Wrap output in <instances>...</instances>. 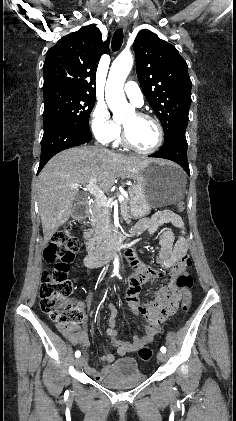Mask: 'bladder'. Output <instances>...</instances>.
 Here are the masks:
<instances>
[{"instance_id":"obj_1","label":"bladder","mask_w":236,"mask_h":421,"mask_svg":"<svg viewBox=\"0 0 236 421\" xmlns=\"http://www.w3.org/2000/svg\"><path fill=\"white\" fill-rule=\"evenodd\" d=\"M146 380V375L140 372L136 359L120 358L106 370L101 378V384L119 390L141 385Z\"/></svg>"}]
</instances>
